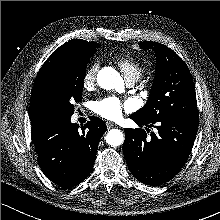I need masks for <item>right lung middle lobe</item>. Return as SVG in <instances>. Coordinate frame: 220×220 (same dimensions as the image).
I'll return each instance as SVG.
<instances>
[{"instance_id":"right-lung-middle-lobe-1","label":"right lung middle lobe","mask_w":220,"mask_h":220,"mask_svg":"<svg viewBox=\"0 0 220 220\" xmlns=\"http://www.w3.org/2000/svg\"><path fill=\"white\" fill-rule=\"evenodd\" d=\"M95 52V50L72 52L49 67L39 94L47 115H73L72 103L82 100L86 66Z\"/></svg>"}]
</instances>
